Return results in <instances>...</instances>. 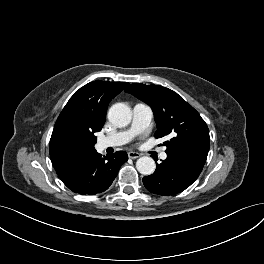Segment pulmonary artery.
Returning a JSON list of instances; mask_svg holds the SVG:
<instances>
[{
    "mask_svg": "<svg viewBox=\"0 0 264 264\" xmlns=\"http://www.w3.org/2000/svg\"><path fill=\"white\" fill-rule=\"evenodd\" d=\"M152 119V108L145 103H137L133 107V119L130 127L101 138L98 141V147L106 149L128 143L134 136L146 130L150 126ZM160 158L162 160L167 158L165 151L161 152Z\"/></svg>",
    "mask_w": 264,
    "mask_h": 264,
    "instance_id": "obj_1",
    "label": "pulmonary artery"
}]
</instances>
